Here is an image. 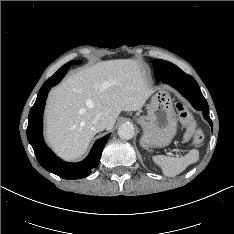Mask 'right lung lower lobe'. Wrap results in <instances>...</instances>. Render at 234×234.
Listing matches in <instances>:
<instances>
[{"instance_id":"right-lung-lower-lobe-1","label":"right lung lower lobe","mask_w":234,"mask_h":234,"mask_svg":"<svg viewBox=\"0 0 234 234\" xmlns=\"http://www.w3.org/2000/svg\"><path fill=\"white\" fill-rule=\"evenodd\" d=\"M71 65L62 66L52 77L41 87L34 106L28 116L27 138L40 165L49 172H52L64 179H80L87 177L93 168H96L110 134L96 141L88 157L79 163H67L55 156L44 142L43 111L48 92L52 86L58 84L65 76Z\"/></svg>"}]
</instances>
